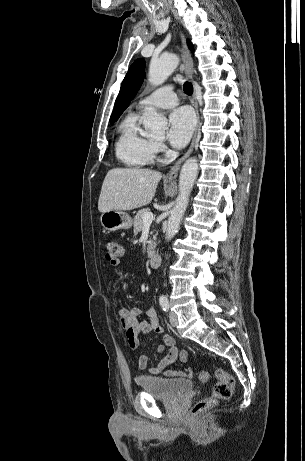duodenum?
<instances>
[{
    "label": "duodenum",
    "mask_w": 305,
    "mask_h": 461,
    "mask_svg": "<svg viewBox=\"0 0 305 461\" xmlns=\"http://www.w3.org/2000/svg\"><path fill=\"white\" fill-rule=\"evenodd\" d=\"M148 264L151 268H156L161 262V256L158 251L151 249L148 252Z\"/></svg>",
    "instance_id": "duodenum-1"
}]
</instances>
